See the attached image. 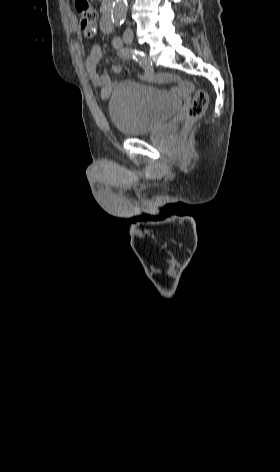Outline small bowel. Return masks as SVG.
<instances>
[{
    "label": "small bowel",
    "mask_w": 280,
    "mask_h": 472,
    "mask_svg": "<svg viewBox=\"0 0 280 472\" xmlns=\"http://www.w3.org/2000/svg\"><path fill=\"white\" fill-rule=\"evenodd\" d=\"M103 58L101 48L99 46H94L85 60V69L91 82L100 87L101 98L106 100L109 98L113 90L114 82L108 74H100L98 72L97 67L99 63L103 61ZM120 71V64H114L112 66V72L118 73ZM157 81L163 84L173 85V91L178 94H187L192 89L189 83L172 74H162L157 77Z\"/></svg>",
    "instance_id": "c3829d8e"
}]
</instances>
